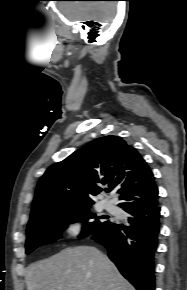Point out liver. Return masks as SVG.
<instances>
[{
	"mask_svg": "<svg viewBox=\"0 0 187 290\" xmlns=\"http://www.w3.org/2000/svg\"><path fill=\"white\" fill-rule=\"evenodd\" d=\"M25 280L27 290H135L106 255L90 246L33 263Z\"/></svg>",
	"mask_w": 187,
	"mask_h": 290,
	"instance_id": "1",
	"label": "liver"
}]
</instances>
